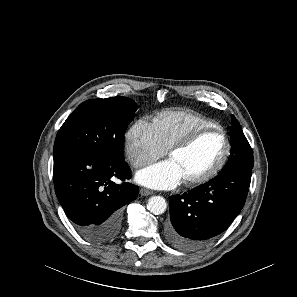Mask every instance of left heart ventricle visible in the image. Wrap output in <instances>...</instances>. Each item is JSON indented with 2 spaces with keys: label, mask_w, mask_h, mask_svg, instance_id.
<instances>
[{
  "label": "left heart ventricle",
  "mask_w": 297,
  "mask_h": 297,
  "mask_svg": "<svg viewBox=\"0 0 297 297\" xmlns=\"http://www.w3.org/2000/svg\"><path fill=\"white\" fill-rule=\"evenodd\" d=\"M223 149L224 142L221 136L217 133H207L170 158L181 168L184 179L193 178L213 167L221 157Z\"/></svg>",
  "instance_id": "1"
}]
</instances>
